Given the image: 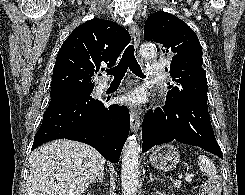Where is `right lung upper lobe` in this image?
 I'll list each match as a JSON object with an SVG mask.
<instances>
[{
  "label": "right lung upper lobe",
  "mask_w": 245,
  "mask_h": 195,
  "mask_svg": "<svg viewBox=\"0 0 245 195\" xmlns=\"http://www.w3.org/2000/svg\"><path fill=\"white\" fill-rule=\"evenodd\" d=\"M130 35L120 25L104 19H92L78 26L62 44L56 58L51 94L94 88L92 78L102 64L116 63Z\"/></svg>",
  "instance_id": "obj_1"
}]
</instances>
